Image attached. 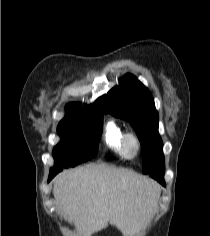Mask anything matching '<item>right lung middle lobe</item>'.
Wrapping results in <instances>:
<instances>
[{
  "label": "right lung middle lobe",
  "mask_w": 210,
  "mask_h": 236,
  "mask_svg": "<svg viewBox=\"0 0 210 236\" xmlns=\"http://www.w3.org/2000/svg\"><path fill=\"white\" fill-rule=\"evenodd\" d=\"M103 112L70 113L58 125L61 141L53 150L55 167L76 166L97 153Z\"/></svg>",
  "instance_id": "dd1d6c3e"
}]
</instances>
